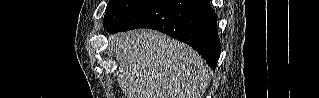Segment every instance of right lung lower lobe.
I'll use <instances>...</instances> for the list:
<instances>
[{"mask_svg":"<svg viewBox=\"0 0 319 98\" xmlns=\"http://www.w3.org/2000/svg\"><path fill=\"white\" fill-rule=\"evenodd\" d=\"M104 28L111 33L136 28L161 31L192 46L213 70L220 56L217 16L209 0H148Z\"/></svg>","mask_w":319,"mask_h":98,"instance_id":"98d812e1","label":"right lung lower lobe"}]
</instances>
